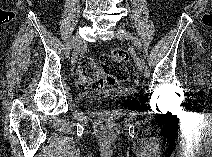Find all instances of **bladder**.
I'll list each match as a JSON object with an SVG mask.
<instances>
[{
  "label": "bladder",
  "instance_id": "31cf9c89",
  "mask_svg": "<svg viewBox=\"0 0 212 157\" xmlns=\"http://www.w3.org/2000/svg\"><path fill=\"white\" fill-rule=\"evenodd\" d=\"M137 96V91L131 87H115L103 90L79 92L76 102L86 111L118 119L124 114V107ZM110 105L111 107H106Z\"/></svg>",
  "mask_w": 212,
  "mask_h": 157
}]
</instances>
